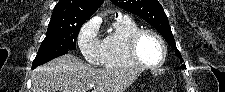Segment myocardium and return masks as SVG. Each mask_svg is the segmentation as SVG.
<instances>
[{
    "label": "myocardium",
    "mask_w": 225,
    "mask_h": 92,
    "mask_svg": "<svg viewBox=\"0 0 225 92\" xmlns=\"http://www.w3.org/2000/svg\"><path fill=\"white\" fill-rule=\"evenodd\" d=\"M144 35L153 36L160 43L162 47V53H163L162 58L156 64H148L144 62L139 54V50H138L139 41ZM128 51L134 63L137 66L143 67L146 69H157L161 67L165 63L167 58V46L164 39L157 32L151 29H138L134 33H132L128 40Z\"/></svg>",
    "instance_id": "f54148a6"
}]
</instances>
